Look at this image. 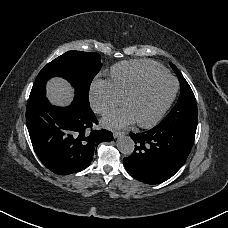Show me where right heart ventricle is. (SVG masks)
Masks as SVG:
<instances>
[{
	"label": "right heart ventricle",
	"mask_w": 228,
	"mask_h": 228,
	"mask_svg": "<svg viewBox=\"0 0 228 228\" xmlns=\"http://www.w3.org/2000/svg\"><path fill=\"white\" fill-rule=\"evenodd\" d=\"M165 73L166 69L154 62H123L112 68L111 82L119 95L126 98L144 79Z\"/></svg>",
	"instance_id": "e07e8e85"
}]
</instances>
